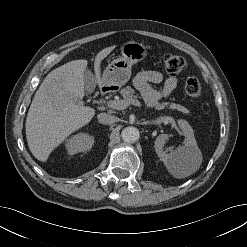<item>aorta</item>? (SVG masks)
<instances>
[{
	"label": "aorta",
	"instance_id": "obj_1",
	"mask_svg": "<svg viewBox=\"0 0 247 247\" xmlns=\"http://www.w3.org/2000/svg\"><path fill=\"white\" fill-rule=\"evenodd\" d=\"M139 136V130L135 127H126L121 132V137L126 143H134Z\"/></svg>",
	"mask_w": 247,
	"mask_h": 247
}]
</instances>
